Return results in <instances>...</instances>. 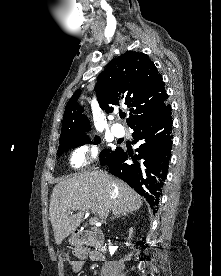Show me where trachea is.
<instances>
[{
  "label": "trachea",
  "instance_id": "3493384b",
  "mask_svg": "<svg viewBox=\"0 0 221 276\" xmlns=\"http://www.w3.org/2000/svg\"><path fill=\"white\" fill-rule=\"evenodd\" d=\"M120 117L124 119L126 117V115L125 114H120Z\"/></svg>",
  "mask_w": 221,
  "mask_h": 276
}]
</instances>
